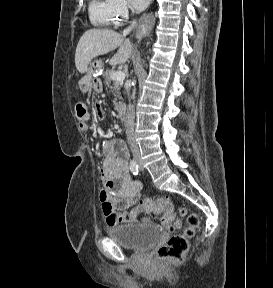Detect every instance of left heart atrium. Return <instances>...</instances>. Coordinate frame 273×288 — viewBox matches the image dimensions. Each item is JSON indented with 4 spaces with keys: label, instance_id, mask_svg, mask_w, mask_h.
<instances>
[{
    "label": "left heart atrium",
    "instance_id": "obj_1",
    "mask_svg": "<svg viewBox=\"0 0 273 288\" xmlns=\"http://www.w3.org/2000/svg\"><path fill=\"white\" fill-rule=\"evenodd\" d=\"M151 0H131L133 7L137 10L146 8Z\"/></svg>",
    "mask_w": 273,
    "mask_h": 288
}]
</instances>
